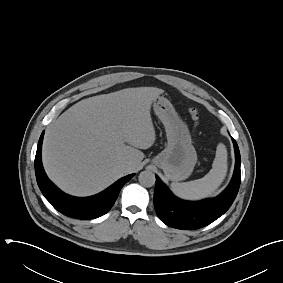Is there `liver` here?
Returning a JSON list of instances; mask_svg holds the SVG:
<instances>
[{
	"label": "liver",
	"mask_w": 283,
	"mask_h": 283,
	"mask_svg": "<svg viewBox=\"0 0 283 283\" xmlns=\"http://www.w3.org/2000/svg\"><path fill=\"white\" fill-rule=\"evenodd\" d=\"M162 93L156 87L126 88L67 109L45 133L42 160L49 178L66 193L90 196L136 170L144 158L139 149L155 142L150 111Z\"/></svg>",
	"instance_id": "obj_1"
}]
</instances>
